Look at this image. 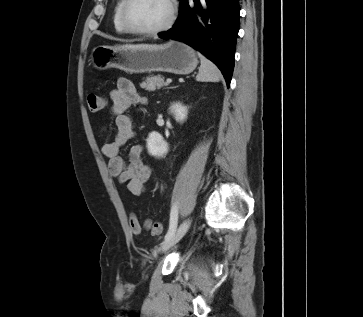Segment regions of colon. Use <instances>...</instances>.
I'll return each mask as SVG.
<instances>
[{
  "label": "colon",
  "instance_id": "1",
  "mask_svg": "<svg viewBox=\"0 0 363 317\" xmlns=\"http://www.w3.org/2000/svg\"><path fill=\"white\" fill-rule=\"evenodd\" d=\"M87 106L91 113H97L101 111L104 107V99L97 94H89L87 96ZM129 225L131 231L134 234H140L142 231V227L137 216L132 213L129 216ZM144 229L150 231L153 234H159L161 232V225L158 222L152 220H146L144 222Z\"/></svg>",
  "mask_w": 363,
  "mask_h": 317
}]
</instances>
